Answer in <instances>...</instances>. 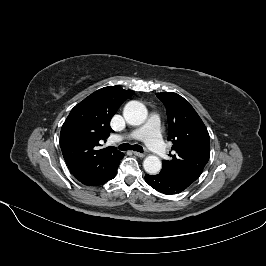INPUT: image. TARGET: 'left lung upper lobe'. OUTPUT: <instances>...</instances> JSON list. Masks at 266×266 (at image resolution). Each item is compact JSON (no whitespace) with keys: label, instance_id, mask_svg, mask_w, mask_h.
<instances>
[{"label":"left lung upper lobe","instance_id":"1","mask_svg":"<svg viewBox=\"0 0 266 266\" xmlns=\"http://www.w3.org/2000/svg\"><path fill=\"white\" fill-rule=\"evenodd\" d=\"M168 118V140L173 143L170 160H163L160 173L189 187L201 175L210 157L208 131L190 103L173 92L157 93Z\"/></svg>","mask_w":266,"mask_h":266}]
</instances>
